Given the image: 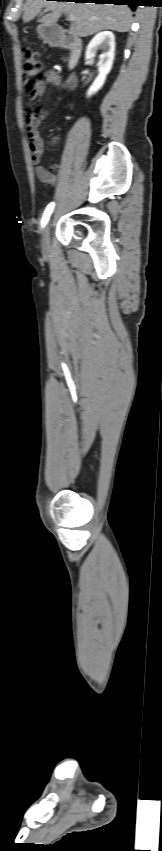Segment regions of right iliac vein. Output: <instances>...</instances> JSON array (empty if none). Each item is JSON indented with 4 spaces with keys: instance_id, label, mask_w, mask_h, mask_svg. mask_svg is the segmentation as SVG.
I'll return each mask as SVG.
<instances>
[{
    "instance_id": "63e3f726",
    "label": "right iliac vein",
    "mask_w": 162,
    "mask_h": 851,
    "mask_svg": "<svg viewBox=\"0 0 162 851\" xmlns=\"http://www.w3.org/2000/svg\"><path fill=\"white\" fill-rule=\"evenodd\" d=\"M50 229H51V221H49L48 224L46 225L45 230L43 232V236H42L41 246H42V250H43L44 253H47L49 251Z\"/></svg>"
}]
</instances>
